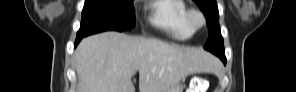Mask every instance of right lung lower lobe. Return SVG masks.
I'll return each instance as SVG.
<instances>
[{
    "label": "right lung lower lobe",
    "mask_w": 296,
    "mask_h": 92,
    "mask_svg": "<svg viewBox=\"0 0 296 92\" xmlns=\"http://www.w3.org/2000/svg\"><path fill=\"white\" fill-rule=\"evenodd\" d=\"M80 40H81V38L77 37L76 42H75V46L79 43Z\"/></svg>",
    "instance_id": "1"
}]
</instances>
